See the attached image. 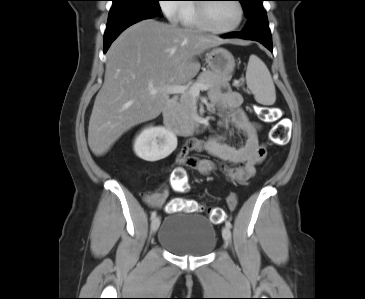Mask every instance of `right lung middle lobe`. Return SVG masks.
<instances>
[{"label":"right lung middle lobe","mask_w":365,"mask_h":299,"mask_svg":"<svg viewBox=\"0 0 365 299\" xmlns=\"http://www.w3.org/2000/svg\"><path fill=\"white\" fill-rule=\"evenodd\" d=\"M109 18L135 11L160 12L159 0H112Z\"/></svg>","instance_id":"1"}]
</instances>
